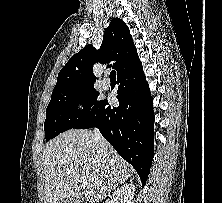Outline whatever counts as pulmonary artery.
I'll use <instances>...</instances> for the list:
<instances>
[{
    "instance_id": "1",
    "label": "pulmonary artery",
    "mask_w": 222,
    "mask_h": 203,
    "mask_svg": "<svg viewBox=\"0 0 222 203\" xmlns=\"http://www.w3.org/2000/svg\"><path fill=\"white\" fill-rule=\"evenodd\" d=\"M111 85V82H110V79L108 77H105L103 80H102V86L107 89L109 88Z\"/></svg>"
}]
</instances>
